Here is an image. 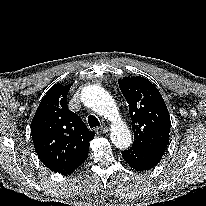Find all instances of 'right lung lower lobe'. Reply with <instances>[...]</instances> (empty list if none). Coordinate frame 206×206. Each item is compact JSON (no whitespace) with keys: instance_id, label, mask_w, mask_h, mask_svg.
<instances>
[{"instance_id":"right-lung-lower-lobe-1","label":"right lung lower lobe","mask_w":206,"mask_h":206,"mask_svg":"<svg viewBox=\"0 0 206 206\" xmlns=\"http://www.w3.org/2000/svg\"><path fill=\"white\" fill-rule=\"evenodd\" d=\"M86 158H87V156L85 157L84 161L86 160ZM84 161H83V162H84Z\"/></svg>"}]
</instances>
